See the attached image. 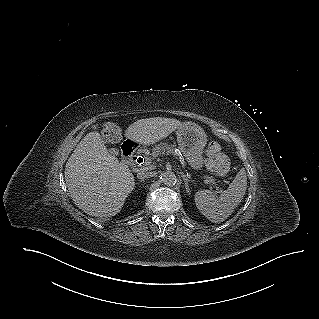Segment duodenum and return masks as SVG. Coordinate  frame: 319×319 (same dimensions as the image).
Masks as SVG:
<instances>
[{"mask_svg":"<svg viewBox=\"0 0 319 319\" xmlns=\"http://www.w3.org/2000/svg\"><path fill=\"white\" fill-rule=\"evenodd\" d=\"M122 157L124 163L129 166L138 165L141 162V157L136 154L135 145L131 142L122 144Z\"/></svg>","mask_w":319,"mask_h":319,"instance_id":"obj_1","label":"duodenum"}]
</instances>
